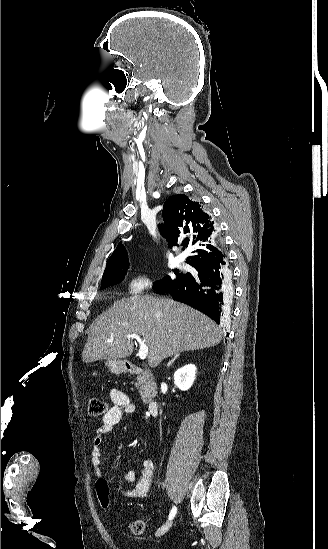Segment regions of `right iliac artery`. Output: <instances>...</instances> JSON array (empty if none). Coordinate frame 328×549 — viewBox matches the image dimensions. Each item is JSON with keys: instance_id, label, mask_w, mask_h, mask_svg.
<instances>
[{"instance_id": "obj_1", "label": "right iliac artery", "mask_w": 328, "mask_h": 549, "mask_svg": "<svg viewBox=\"0 0 328 549\" xmlns=\"http://www.w3.org/2000/svg\"><path fill=\"white\" fill-rule=\"evenodd\" d=\"M177 513V508L174 506L169 514V520H171Z\"/></svg>"}]
</instances>
